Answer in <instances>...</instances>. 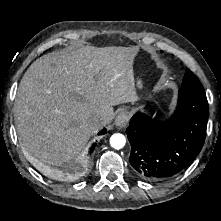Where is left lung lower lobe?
Returning <instances> with one entry per match:
<instances>
[{
	"instance_id": "1",
	"label": "left lung lower lobe",
	"mask_w": 221,
	"mask_h": 221,
	"mask_svg": "<svg viewBox=\"0 0 221 221\" xmlns=\"http://www.w3.org/2000/svg\"><path fill=\"white\" fill-rule=\"evenodd\" d=\"M206 95L179 89L177 109L163 124L136 113L126 130L130 163L148 181L173 178L188 167L201 151L208 120Z\"/></svg>"
}]
</instances>
